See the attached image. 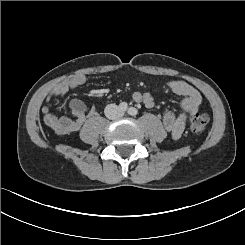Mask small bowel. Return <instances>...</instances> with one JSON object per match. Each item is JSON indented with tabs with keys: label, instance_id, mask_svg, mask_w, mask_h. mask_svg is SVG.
I'll return each mask as SVG.
<instances>
[{
	"label": "small bowel",
	"instance_id": "1",
	"mask_svg": "<svg viewBox=\"0 0 245 245\" xmlns=\"http://www.w3.org/2000/svg\"><path fill=\"white\" fill-rule=\"evenodd\" d=\"M85 81L86 78L83 75L72 76L55 86L46 98L47 103L42 107L43 120L59 136L79 130L87 117L96 114V106L88 109L79 99H73L69 102V108L75 117L74 119L56 116L48 104L52 99L63 97L69 91L77 89ZM167 87L174 94L183 97L179 105V111L177 113L168 111L162 118L165 130L176 140L183 133L190 116L200 108L202 97L193 86L184 81H169L167 82ZM132 98L135 102L142 103L147 108H152L155 105L153 96L147 92L136 91L133 93Z\"/></svg>",
	"mask_w": 245,
	"mask_h": 245
}]
</instances>
